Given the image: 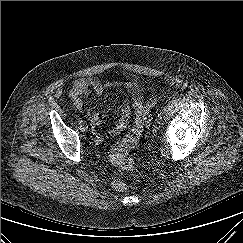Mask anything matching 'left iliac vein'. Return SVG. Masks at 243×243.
Masks as SVG:
<instances>
[{"label":"left iliac vein","mask_w":243,"mask_h":243,"mask_svg":"<svg viewBox=\"0 0 243 243\" xmlns=\"http://www.w3.org/2000/svg\"><path fill=\"white\" fill-rule=\"evenodd\" d=\"M161 124H162V120H161L160 117H158V118L156 119V127H160Z\"/></svg>","instance_id":"obj_1"}]
</instances>
